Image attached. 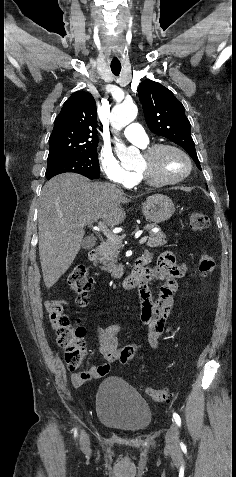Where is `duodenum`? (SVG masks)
I'll list each match as a JSON object with an SVG mask.
<instances>
[{
    "label": "duodenum",
    "instance_id": "duodenum-1",
    "mask_svg": "<svg viewBox=\"0 0 236 477\" xmlns=\"http://www.w3.org/2000/svg\"><path fill=\"white\" fill-rule=\"evenodd\" d=\"M98 255V248H92L89 251L88 256L91 261H96L98 259ZM148 263L149 259L146 257H140L135 260L131 273L121 282V286L124 290L130 291L133 289H138L147 283L145 277V266Z\"/></svg>",
    "mask_w": 236,
    "mask_h": 477
}]
</instances>
